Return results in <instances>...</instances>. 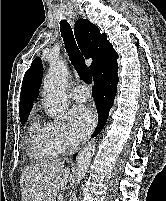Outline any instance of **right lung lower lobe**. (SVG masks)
<instances>
[{"instance_id":"98d812e1","label":"right lung lower lobe","mask_w":166,"mask_h":201,"mask_svg":"<svg viewBox=\"0 0 166 201\" xmlns=\"http://www.w3.org/2000/svg\"><path fill=\"white\" fill-rule=\"evenodd\" d=\"M117 71L118 65L116 62L108 63L94 77L93 97L99 119L97 128L92 137L97 136L107 122L109 110L113 105L117 91L116 86L119 80Z\"/></svg>"}]
</instances>
